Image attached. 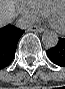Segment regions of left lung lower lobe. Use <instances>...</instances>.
I'll return each instance as SVG.
<instances>
[{
    "label": "left lung lower lobe",
    "instance_id": "obj_1",
    "mask_svg": "<svg viewBox=\"0 0 65 89\" xmlns=\"http://www.w3.org/2000/svg\"><path fill=\"white\" fill-rule=\"evenodd\" d=\"M47 55L53 63L65 67V37L60 38L55 47L47 50Z\"/></svg>",
    "mask_w": 65,
    "mask_h": 89
}]
</instances>
